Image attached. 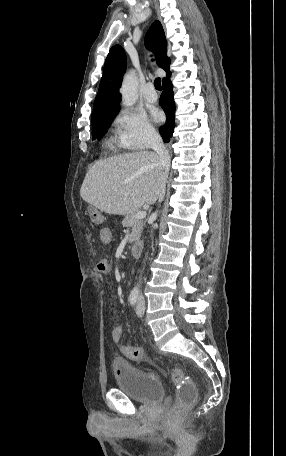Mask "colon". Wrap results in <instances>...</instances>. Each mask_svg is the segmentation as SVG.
Returning <instances> with one entry per match:
<instances>
[{
    "instance_id": "obj_1",
    "label": "colon",
    "mask_w": 286,
    "mask_h": 456,
    "mask_svg": "<svg viewBox=\"0 0 286 456\" xmlns=\"http://www.w3.org/2000/svg\"><path fill=\"white\" fill-rule=\"evenodd\" d=\"M123 354L133 360H143L145 358L143 349L138 346H125ZM171 377L173 383L177 387L176 404L171 410V415L174 416L181 414L194 403L197 395V388L192 382L184 380L179 368H174L172 370Z\"/></svg>"
}]
</instances>
